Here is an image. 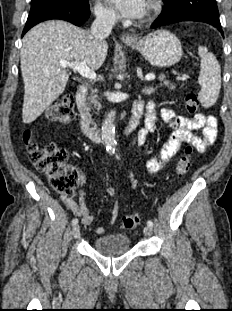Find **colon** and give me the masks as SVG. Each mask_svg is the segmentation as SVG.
Masks as SVG:
<instances>
[{
	"mask_svg": "<svg viewBox=\"0 0 232 311\" xmlns=\"http://www.w3.org/2000/svg\"><path fill=\"white\" fill-rule=\"evenodd\" d=\"M199 99L194 93L185 96V108L188 113L195 114L199 109ZM74 101L70 95L60 96L47 110L46 118L50 121L66 124L74 117ZM24 140L28 146L30 159L38 171L46 175L52 188L58 193L72 197L75 193L78 174L67 163L68 153L64 148L59 147L53 142H48L40 147L33 142L32 132H24ZM194 146L192 144L185 148L183 155L179 158L175 174L179 177L184 176L190 169L191 158ZM140 223L139 215H130L123 219V227L134 229Z\"/></svg>",
	"mask_w": 232,
	"mask_h": 311,
	"instance_id": "colon-1",
	"label": "colon"
}]
</instances>
